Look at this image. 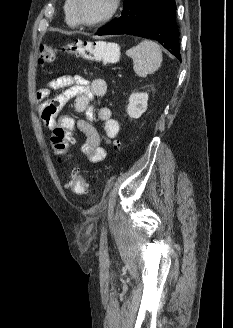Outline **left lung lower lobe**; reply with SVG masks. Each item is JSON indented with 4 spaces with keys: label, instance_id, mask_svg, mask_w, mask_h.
Masks as SVG:
<instances>
[{
    "label": "left lung lower lobe",
    "instance_id": "obj_1",
    "mask_svg": "<svg viewBox=\"0 0 233 328\" xmlns=\"http://www.w3.org/2000/svg\"><path fill=\"white\" fill-rule=\"evenodd\" d=\"M175 0H124L122 15L97 35L129 34L159 41L181 61Z\"/></svg>",
    "mask_w": 233,
    "mask_h": 328
}]
</instances>
